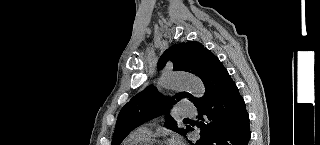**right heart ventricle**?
<instances>
[{"instance_id": "obj_1", "label": "right heart ventricle", "mask_w": 320, "mask_h": 145, "mask_svg": "<svg viewBox=\"0 0 320 145\" xmlns=\"http://www.w3.org/2000/svg\"><path fill=\"white\" fill-rule=\"evenodd\" d=\"M150 140L149 136L134 131L125 138L122 145H145Z\"/></svg>"}]
</instances>
